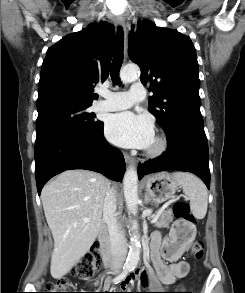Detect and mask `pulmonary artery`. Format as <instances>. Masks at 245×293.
<instances>
[{"label":"pulmonary artery","mask_w":245,"mask_h":293,"mask_svg":"<svg viewBox=\"0 0 245 293\" xmlns=\"http://www.w3.org/2000/svg\"><path fill=\"white\" fill-rule=\"evenodd\" d=\"M146 91L140 83H134L128 92L102 91L103 101L97 108L102 111H119L128 109L145 98Z\"/></svg>","instance_id":"pulmonary-artery-1"}]
</instances>
